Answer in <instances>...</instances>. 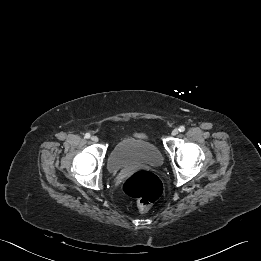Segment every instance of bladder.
I'll return each mask as SVG.
<instances>
[{
  "label": "bladder",
  "instance_id": "31cf9c89",
  "mask_svg": "<svg viewBox=\"0 0 261 261\" xmlns=\"http://www.w3.org/2000/svg\"><path fill=\"white\" fill-rule=\"evenodd\" d=\"M162 162V154L156 145L135 138L119 141L107 158L108 169L113 173L128 166L159 167Z\"/></svg>",
  "mask_w": 261,
  "mask_h": 261
}]
</instances>
